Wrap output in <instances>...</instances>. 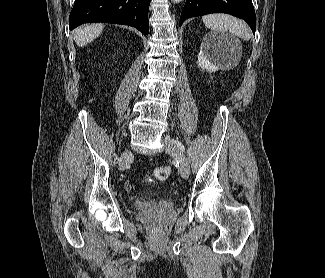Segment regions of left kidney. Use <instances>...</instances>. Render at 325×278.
<instances>
[{
  "label": "left kidney",
  "mask_w": 325,
  "mask_h": 278,
  "mask_svg": "<svg viewBox=\"0 0 325 278\" xmlns=\"http://www.w3.org/2000/svg\"><path fill=\"white\" fill-rule=\"evenodd\" d=\"M226 40L218 35L207 36L198 53V65L202 70L215 72L221 69V57L228 56Z\"/></svg>",
  "instance_id": "obj_1"
}]
</instances>
